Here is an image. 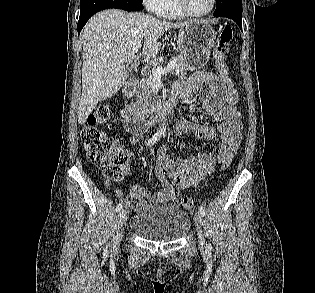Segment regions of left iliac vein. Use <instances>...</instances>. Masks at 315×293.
<instances>
[{
	"label": "left iliac vein",
	"instance_id": "left-iliac-vein-1",
	"mask_svg": "<svg viewBox=\"0 0 315 293\" xmlns=\"http://www.w3.org/2000/svg\"><path fill=\"white\" fill-rule=\"evenodd\" d=\"M194 221L197 227L199 246L201 249H205V239L203 236V226H204L203 216L199 212L195 213Z\"/></svg>",
	"mask_w": 315,
	"mask_h": 293
}]
</instances>
